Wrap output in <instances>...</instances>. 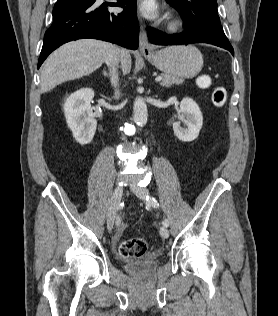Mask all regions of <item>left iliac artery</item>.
Returning <instances> with one entry per match:
<instances>
[{
    "mask_svg": "<svg viewBox=\"0 0 278 316\" xmlns=\"http://www.w3.org/2000/svg\"><path fill=\"white\" fill-rule=\"evenodd\" d=\"M146 201L149 205L153 206L154 208H159V203L154 197L146 196ZM162 223L166 227L169 225V221L166 218L163 220Z\"/></svg>",
    "mask_w": 278,
    "mask_h": 316,
    "instance_id": "obj_1",
    "label": "left iliac artery"
}]
</instances>
